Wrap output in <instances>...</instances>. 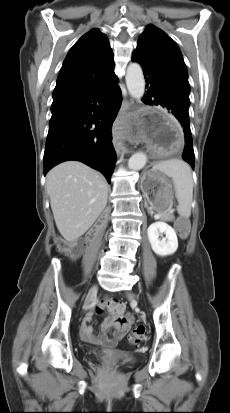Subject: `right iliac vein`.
<instances>
[{
	"instance_id": "right-iliac-vein-1",
	"label": "right iliac vein",
	"mask_w": 230,
	"mask_h": 413,
	"mask_svg": "<svg viewBox=\"0 0 230 413\" xmlns=\"http://www.w3.org/2000/svg\"><path fill=\"white\" fill-rule=\"evenodd\" d=\"M97 290H98V288H97L96 285L91 287V289L89 290V292L86 296L85 302H84V309L88 308V306L90 305V303L92 302V300L96 296Z\"/></svg>"
}]
</instances>
